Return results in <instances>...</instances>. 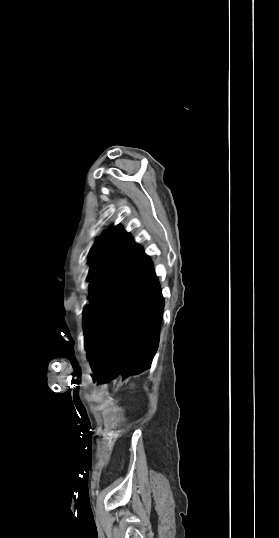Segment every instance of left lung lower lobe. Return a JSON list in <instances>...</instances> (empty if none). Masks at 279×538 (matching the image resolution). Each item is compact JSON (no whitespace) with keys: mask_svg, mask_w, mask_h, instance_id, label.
I'll return each instance as SVG.
<instances>
[{"mask_svg":"<svg viewBox=\"0 0 279 538\" xmlns=\"http://www.w3.org/2000/svg\"><path fill=\"white\" fill-rule=\"evenodd\" d=\"M164 308L153 265L142 248L97 292L84 310L92 370L100 382L150 367Z\"/></svg>","mask_w":279,"mask_h":538,"instance_id":"0a47b994","label":"left lung lower lobe"}]
</instances>
